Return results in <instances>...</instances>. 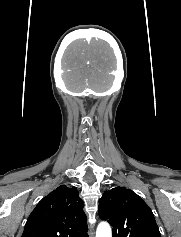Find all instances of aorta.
<instances>
[{"instance_id":"1","label":"aorta","mask_w":181,"mask_h":237,"mask_svg":"<svg viewBox=\"0 0 181 237\" xmlns=\"http://www.w3.org/2000/svg\"><path fill=\"white\" fill-rule=\"evenodd\" d=\"M96 237H112L111 227L106 222H101L96 231Z\"/></svg>"}]
</instances>
